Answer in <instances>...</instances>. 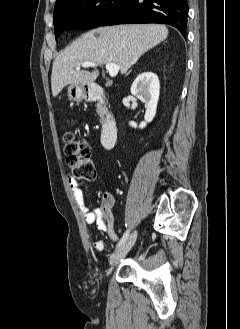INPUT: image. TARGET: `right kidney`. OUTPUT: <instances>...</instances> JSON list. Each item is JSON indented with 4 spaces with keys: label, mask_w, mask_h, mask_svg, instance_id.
Masks as SVG:
<instances>
[{
    "label": "right kidney",
    "mask_w": 240,
    "mask_h": 329,
    "mask_svg": "<svg viewBox=\"0 0 240 329\" xmlns=\"http://www.w3.org/2000/svg\"><path fill=\"white\" fill-rule=\"evenodd\" d=\"M160 82L158 76L152 72L140 74L131 86V94L146 104L147 109L144 121L140 123L139 128L143 129L147 123L151 122L156 114L157 103L159 99ZM130 126L136 128L137 124L131 121Z\"/></svg>",
    "instance_id": "1"
}]
</instances>
